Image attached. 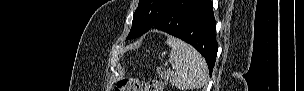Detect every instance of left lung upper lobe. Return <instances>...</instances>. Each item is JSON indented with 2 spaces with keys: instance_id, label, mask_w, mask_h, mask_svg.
Returning a JSON list of instances; mask_svg holds the SVG:
<instances>
[{
  "instance_id": "5c2ea615",
  "label": "left lung upper lobe",
  "mask_w": 304,
  "mask_h": 91,
  "mask_svg": "<svg viewBox=\"0 0 304 91\" xmlns=\"http://www.w3.org/2000/svg\"><path fill=\"white\" fill-rule=\"evenodd\" d=\"M173 0H139L128 39L143 35L164 15Z\"/></svg>"
}]
</instances>
